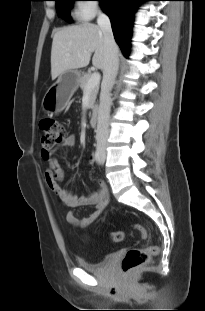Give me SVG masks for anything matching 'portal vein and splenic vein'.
Wrapping results in <instances>:
<instances>
[{"mask_svg":"<svg viewBox=\"0 0 205 311\" xmlns=\"http://www.w3.org/2000/svg\"><path fill=\"white\" fill-rule=\"evenodd\" d=\"M100 73L95 72L92 74L91 78L89 79L87 85H86V90L89 91L92 88H94L95 86L99 85L100 83Z\"/></svg>","mask_w":205,"mask_h":311,"instance_id":"18ae733b","label":"portal vein and splenic vein"}]
</instances>
